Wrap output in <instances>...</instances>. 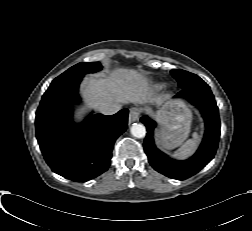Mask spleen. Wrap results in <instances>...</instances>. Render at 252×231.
<instances>
[{
    "label": "spleen",
    "instance_id": "1",
    "mask_svg": "<svg viewBox=\"0 0 252 231\" xmlns=\"http://www.w3.org/2000/svg\"><path fill=\"white\" fill-rule=\"evenodd\" d=\"M199 143V135L197 132L193 134V138L187 140L177 151H175L174 156L180 159H184L190 156Z\"/></svg>",
    "mask_w": 252,
    "mask_h": 231
}]
</instances>
